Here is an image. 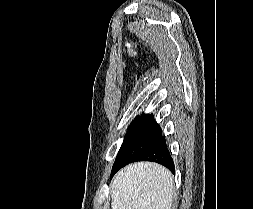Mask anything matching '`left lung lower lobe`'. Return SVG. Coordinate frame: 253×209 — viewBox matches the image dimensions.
<instances>
[{
	"label": "left lung lower lobe",
	"instance_id": "1",
	"mask_svg": "<svg viewBox=\"0 0 253 209\" xmlns=\"http://www.w3.org/2000/svg\"><path fill=\"white\" fill-rule=\"evenodd\" d=\"M138 161H152L162 164L175 174L174 162L167 148L165 137L162 134L139 154L116 160L112 167L111 177L122 167Z\"/></svg>",
	"mask_w": 253,
	"mask_h": 209
}]
</instances>
